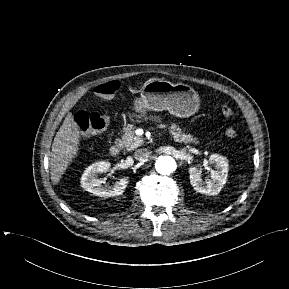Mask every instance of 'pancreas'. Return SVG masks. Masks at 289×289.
Returning a JSON list of instances; mask_svg holds the SVG:
<instances>
[{
	"label": "pancreas",
	"mask_w": 289,
	"mask_h": 289,
	"mask_svg": "<svg viewBox=\"0 0 289 289\" xmlns=\"http://www.w3.org/2000/svg\"><path fill=\"white\" fill-rule=\"evenodd\" d=\"M134 129L135 127L133 124H128L124 128V134L122 135V139L120 140L121 145L125 147L128 151L134 150L143 144V139L135 135ZM169 133L171 134L175 142H183L185 144L196 143V138H194L190 134L183 133L181 128H179V126L175 124H172L170 126Z\"/></svg>",
	"instance_id": "obj_1"
}]
</instances>
